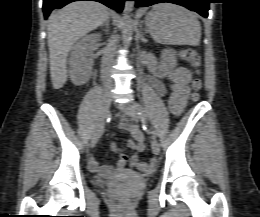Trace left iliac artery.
I'll use <instances>...</instances> for the list:
<instances>
[{
    "label": "left iliac artery",
    "mask_w": 260,
    "mask_h": 217,
    "mask_svg": "<svg viewBox=\"0 0 260 217\" xmlns=\"http://www.w3.org/2000/svg\"><path fill=\"white\" fill-rule=\"evenodd\" d=\"M133 105H134L135 109L138 111V114L141 116L142 123H143V129L146 132H148L149 134H151L152 138L155 139L156 134L151 128H149V125H148V122H147V113H146L145 108L137 102H134Z\"/></svg>",
    "instance_id": "obj_1"
}]
</instances>
